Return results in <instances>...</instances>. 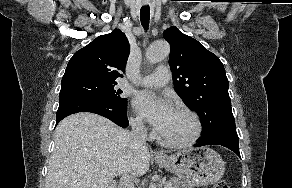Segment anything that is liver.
<instances>
[{
  "mask_svg": "<svg viewBox=\"0 0 292 188\" xmlns=\"http://www.w3.org/2000/svg\"><path fill=\"white\" fill-rule=\"evenodd\" d=\"M54 136L47 188H109L114 177H141L149 170L148 147H130L127 132L102 116L70 115Z\"/></svg>",
  "mask_w": 292,
  "mask_h": 188,
  "instance_id": "1",
  "label": "liver"
}]
</instances>
